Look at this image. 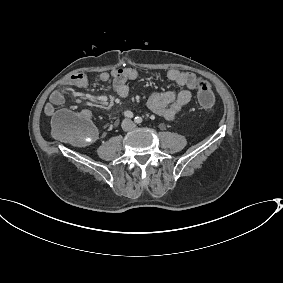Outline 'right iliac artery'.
Returning a JSON list of instances; mask_svg holds the SVG:
<instances>
[{
    "label": "right iliac artery",
    "instance_id": "right-iliac-artery-1",
    "mask_svg": "<svg viewBox=\"0 0 283 283\" xmlns=\"http://www.w3.org/2000/svg\"><path fill=\"white\" fill-rule=\"evenodd\" d=\"M124 116L127 117V118H133L134 115L131 111H125Z\"/></svg>",
    "mask_w": 283,
    "mask_h": 283
}]
</instances>
